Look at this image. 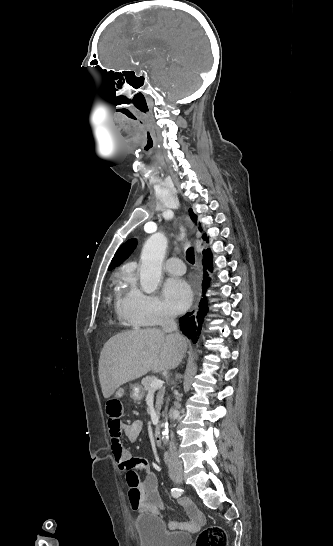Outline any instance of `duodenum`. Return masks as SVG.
Here are the masks:
<instances>
[{
	"mask_svg": "<svg viewBox=\"0 0 333 546\" xmlns=\"http://www.w3.org/2000/svg\"><path fill=\"white\" fill-rule=\"evenodd\" d=\"M153 438L156 444L160 445L162 443V429L159 425L153 430Z\"/></svg>",
	"mask_w": 333,
	"mask_h": 546,
	"instance_id": "obj_1",
	"label": "duodenum"
}]
</instances>
